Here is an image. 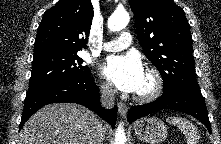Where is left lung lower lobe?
<instances>
[{
    "label": "left lung lower lobe",
    "instance_id": "left-lung-lower-lobe-1",
    "mask_svg": "<svg viewBox=\"0 0 221 144\" xmlns=\"http://www.w3.org/2000/svg\"><path fill=\"white\" fill-rule=\"evenodd\" d=\"M163 109L177 110L187 113L201 121L211 133L204 98L201 91H193L186 88H175L163 92L155 101L133 106L127 116L129 122Z\"/></svg>",
    "mask_w": 221,
    "mask_h": 144
}]
</instances>
